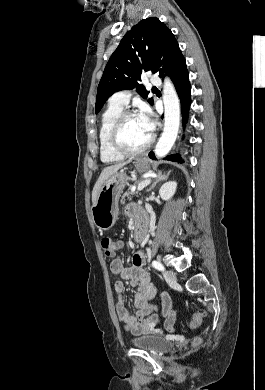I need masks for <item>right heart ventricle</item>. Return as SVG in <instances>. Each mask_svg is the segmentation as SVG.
<instances>
[{
	"label": "right heart ventricle",
	"instance_id": "right-heart-ventricle-1",
	"mask_svg": "<svg viewBox=\"0 0 265 390\" xmlns=\"http://www.w3.org/2000/svg\"><path fill=\"white\" fill-rule=\"evenodd\" d=\"M123 107L109 104L106 110L101 116L98 139H99V148H100V159L104 163H115L120 162L124 159V156L116 153L110 144V131L111 128L118 117L122 112Z\"/></svg>",
	"mask_w": 265,
	"mask_h": 390
}]
</instances>
